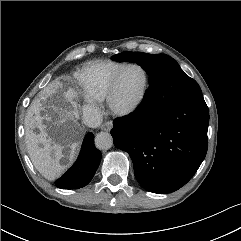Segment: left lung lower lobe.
<instances>
[{
    "label": "left lung lower lobe",
    "mask_w": 241,
    "mask_h": 241,
    "mask_svg": "<svg viewBox=\"0 0 241 241\" xmlns=\"http://www.w3.org/2000/svg\"><path fill=\"white\" fill-rule=\"evenodd\" d=\"M209 110L202 94L172 100L156 83L128 116L115 119L114 145L129 153L140 185L171 193L196 173L207 152Z\"/></svg>",
    "instance_id": "obj_1"
}]
</instances>
